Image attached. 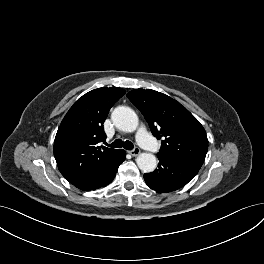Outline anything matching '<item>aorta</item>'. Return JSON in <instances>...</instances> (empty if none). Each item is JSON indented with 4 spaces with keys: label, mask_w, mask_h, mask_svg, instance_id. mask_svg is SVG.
Here are the masks:
<instances>
[{
    "label": "aorta",
    "mask_w": 264,
    "mask_h": 264,
    "mask_svg": "<svg viewBox=\"0 0 264 264\" xmlns=\"http://www.w3.org/2000/svg\"><path fill=\"white\" fill-rule=\"evenodd\" d=\"M111 118L117 128L124 132H133L138 127V116L130 107H116L112 112ZM136 163L139 169L145 173L154 171L157 166L156 157L151 153H141L137 157Z\"/></svg>",
    "instance_id": "aorta-1"
}]
</instances>
